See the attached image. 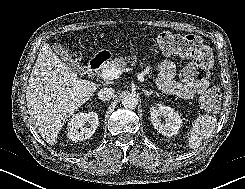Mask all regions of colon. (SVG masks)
<instances>
[{
	"instance_id": "obj_1",
	"label": "colon",
	"mask_w": 245,
	"mask_h": 189,
	"mask_svg": "<svg viewBox=\"0 0 245 189\" xmlns=\"http://www.w3.org/2000/svg\"><path fill=\"white\" fill-rule=\"evenodd\" d=\"M159 46L173 54L191 57L192 61L184 66L180 77L186 85L206 80L213 66V54L194 35H181L170 31L162 32L157 39ZM221 98L218 88H211L202 93L198 99L204 109H215Z\"/></svg>"
}]
</instances>
